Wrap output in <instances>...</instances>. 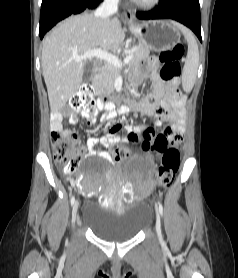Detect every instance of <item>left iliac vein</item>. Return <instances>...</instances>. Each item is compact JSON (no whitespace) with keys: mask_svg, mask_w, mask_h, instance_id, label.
Segmentation results:
<instances>
[{"mask_svg":"<svg viewBox=\"0 0 238 278\" xmlns=\"http://www.w3.org/2000/svg\"><path fill=\"white\" fill-rule=\"evenodd\" d=\"M155 228H156L157 235L160 237L161 236V221H160L159 212H157Z\"/></svg>","mask_w":238,"mask_h":278,"instance_id":"left-iliac-vein-1","label":"left iliac vein"}]
</instances>
